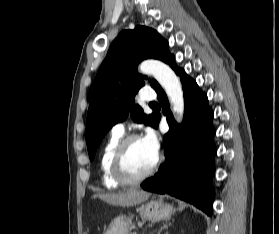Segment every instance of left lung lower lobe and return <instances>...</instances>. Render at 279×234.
I'll return each instance as SVG.
<instances>
[{
	"instance_id": "obj_1",
	"label": "left lung lower lobe",
	"mask_w": 279,
	"mask_h": 234,
	"mask_svg": "<svg viewBox=\"0 0 279 234\" xmlns=\"http://www.w3.org/2000/svg\"><path fill=\"white\" fill-rule=\"evenodd\" d=\"M167 64L180 76L185 99L184 118L181 125L175 122L167 96L157 86V97L170 127L163 139L166 160L155 176L141 186L147 191L168 193L186 200L211 215L214 200L211 179L216 153L213 112L208 106L206 94L175 64L174 56ZM160 118L158 115V124Z\"/></svg>"
}]
</instances>
